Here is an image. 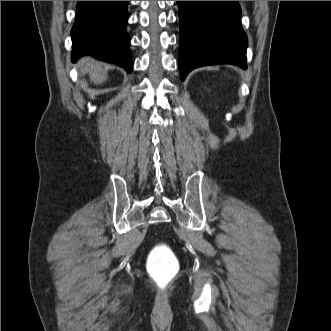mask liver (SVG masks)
<instances>
[{
  "label": "liver",
  "instance_id": "liver-1",
  "mask_svg": "<svg viewBox=\"0 0 331 331\" xmlns=\"http://www.w3.org/2000/svg\"><path fill=\"white\" fill-rule=\"evenodd\" d=\"M78 68L82 71L89 73V76L94 83H102L106 80V72L102 71V63L94 61L90 58H82L78 62Z\"/></svg>",
  "mask_w": 331,
  "mask_h": 331
}]
</instances>
